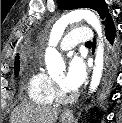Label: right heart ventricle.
Masks as SVG:
<instances>
[{
  "instance_id": "1",
  "label": "right heart ventricle",
  "mask_w": 122,
  "mask_h": 123,
  "mask_svg": "<svg viewBox=\"0 0 122 123\" xmlns=\"http://www.w3.org/2000/svg\"><path fill=\"white\" fill-rule=\"evenodd\" d=\"M26 92L32 102L40 105H50L55 99L52 78L37 66L30 72Z\"/></svg>"
}]
</instances>
